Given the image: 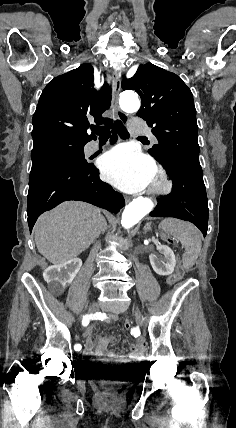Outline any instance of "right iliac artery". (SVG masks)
Listing matches in <instances>:
<instances>
[{
  "label": "right iliac artery",
  "mask_w": 236,
  "mask_h": 428,
  "mask_svg": "<svg viewBox=\"0 0 236 428\" xmlns=\"http://www.w3.org/2000/svg\"><path fill=\"white\" fill-rule=\"evenodd\" d=\"M89 320H90L89 315H85V316H83V319H82V325H83V326H87V325L89 324ZM81 348H82V346H81L80 344H76V345L74 346L75 351H80V350H81Z\"/></svg>",
  "instance_id": "1"
}]
</instances>
